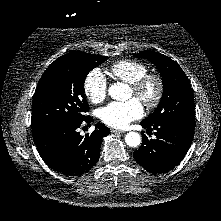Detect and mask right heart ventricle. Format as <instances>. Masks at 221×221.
<instances>
[{
  "label": "right heart ventricle",
  "mask_w": 221,
  "mask_h": 221,
  "mask_svg": "<svg viewBox=\"0 0 221 221\" xmlns=\"http://www.w3.org/2000/svg\"><path fill=\"white\" fill-rule=\"evenodd\" d=\"M147 71L148 68L145 64L130 59L117 61L110 66V73L113 77L127 84L133 83Z\"/></svg>",
  "instance_id": "right-heart-ventricle-1"
}]
</instances>
